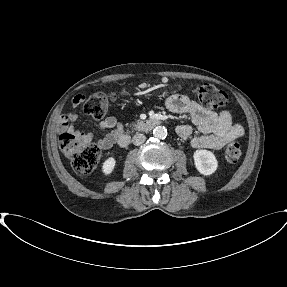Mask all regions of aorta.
Here are the masks:
<instances>
[{
  "instance_id": "aorta-1",
  "label": "aorta",
  "mask_w": 287,
  "mask_h": 287,
  "mask_svg": "<svg viewBox=\"0 0 287 287\" xmlns=\"http://www.w3.org/2000/svg\"><path fill=\"white\" fill-rule=\"evenodd\" d=\"M153 136L157 139H165L167 136V129L164 126H157L153 129Z\"/></svg>"
}]
</instances>
